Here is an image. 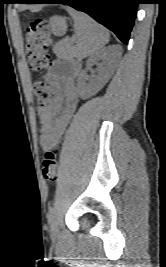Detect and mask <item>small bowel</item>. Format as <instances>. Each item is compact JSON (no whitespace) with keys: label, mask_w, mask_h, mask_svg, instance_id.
Here are the masks:
<instances>
[{"label":"small bowel","mask_w":166,"mask_h":267,"mask_svg":"<svg viewBox=\"0 0 166 267\" xmlns=\"http://www.w3.org/2000/svg\"><path fill=\"white\" fill-rule=\"evenodd\" d=\"M78 68L66 62L56 60L46 75L58 94L54 101L38 110L40 123V145L48 150L53 147L65 132L78 104L75 78Z\"/></svg>","instance_id":"obj_1"}]
</instances>
